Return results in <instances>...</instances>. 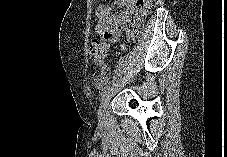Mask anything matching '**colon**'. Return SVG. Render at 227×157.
<instances>
[{"mask_svg":"<svg viewBox=\"0 0 227 157\" xmlns=\"http://www.w3.org/2000/svg\"><path fill=\"white\" fill-rule=\"evenodd\" d=\"M153 0H136L135 13L130 19V24L127 29L128 39H134L142 25L144 20L148 17L152 10ZM90 55L96 65H102L104 63L107 46L103 40L93 39L89 49ZM110 70L107 65H103L101 70L97 72L93 77L94 86L97 89H102L109 81Z\"/></svg>","mask_w":227,"mask_h":157,"instance_id":"obj_1","label":"colon"}]
</instances>
